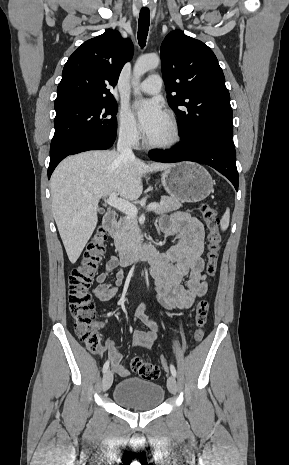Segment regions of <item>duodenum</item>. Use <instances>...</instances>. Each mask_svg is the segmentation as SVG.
Instances as JSON below:
<instances>
[{
	"label": "duodenum",
	"mask_w": 289,
	"mask_h": 465,
	"mask_svg": "<svg viewBox=\"0 0 289 465\" xmlns=\"http://www.w3.org/2000/svg\"><path fill=\"white\" fill-rule=\"evenodd\" d=\"M116 213L109 210L103 218L104 228L112 235L116 230ZM161 254L153 245H140L135 247L122 248L119 251L120 263L122 266H128L133 262L148 260L152 264L160 260Z\"/></svg>",
	"instance_id": "1"
}]
</instances>
